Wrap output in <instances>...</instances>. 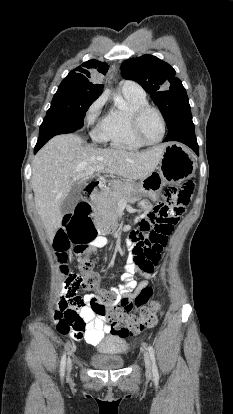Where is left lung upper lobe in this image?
Wrapping results in <instances>:
<instances>
[{
	"mask_svg": "<svg viewBox=\"0 0 233 414\" xmlns=\"http://www.w3.org/2000/svg\"><path fill=\"white\" fill-rule=\"evenodd\" d=\"M125 79L138 82L151 95L159 107L167 127L179 113L189 109V101L175 70L166 62L152 55H144L124 61L121 65Z\"/></svg>",
	"mask_w": 233,
	"mask_h": 414,
	"instance_id": "1",
	"label": "left lung upper lobe"
}]
</instances>
